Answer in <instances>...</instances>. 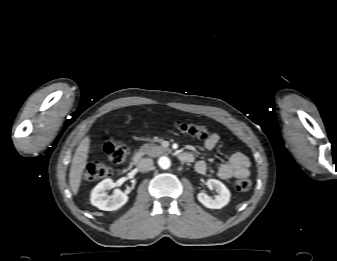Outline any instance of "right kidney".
I'll use <instances>...</instances> for the list:
<instances>
[{
    "instance_id": "1",
    "label": "right kidney",
    "mask_w": 337,
    "mask_h": 261,
    "mask_svg": "<svg viewBox=\"0 0 337 261\" xmlns=\"http://www.w3.org/2000/svg\"><path fill=\"white\" fill-rule=\"evenodd\" d=\"M112 179H105L101 181L91 192V203L97 208L104 211H113L122 207L127 201L126 193L115 189L112 195H107V190L114 188Z\"/></svg>"
}]
</instances>
